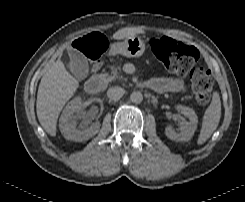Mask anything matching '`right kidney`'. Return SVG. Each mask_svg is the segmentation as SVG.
<instances>
[{
    "label": "right kidney",
    "mask_w": 245,
    "mask_h": 202,
    "mask_svg": "<svg viewBox=\"0 0 245 202\" xmlns=\"http://www.w3.org/2000/svg\"><path fill=\"white\" fill-rule=\"evenodd\" d=\"M81 107V98H74L66 105L59 119L60 131L67 140L76 142L86 141L95 136L100 129L99 122H95L88 127V121H84L77 127V120L74 114L79 112Z\"/></svg>",
    "instance_id": "obj_1"
}]
</instances>
